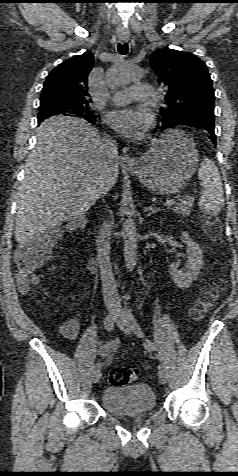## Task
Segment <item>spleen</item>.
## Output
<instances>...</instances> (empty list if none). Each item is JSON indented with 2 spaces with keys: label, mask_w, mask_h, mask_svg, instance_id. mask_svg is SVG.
Wrapping results in <instances>:
<instances>
[{
  "label": "spleen",
  "mask_w": 238,
  "mask_h": 476,
  "mask_svg": "<svg viewBox=\"0 0 238 476\" xmlns=\"http://www.w3.org/2000/svg\"><path fill=\"white\" fill-rule=\"evenodd\" d=\"M198 177L204 188L199 201L200 209L207 214L216 215L223 207L224 193L219 170L211 159L202 160Z\"/></svg>",
  "instance_id": "obj_1"
}]
</instances>
